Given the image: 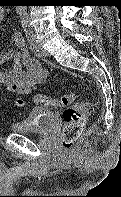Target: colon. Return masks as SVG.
I'll list each match as a JSON object with an SVG mask.
<instances>
[{"mask_svg": "<svg viewBox=\"0 0 121 197\" xmlns=\"http://www.w3.org/2000/svg\"><path fill=\"white\" fill-rule=\"evenodd\" d=\"M74 94H66L59 98H50L43 94L35 96L34 102L38 106L46 107H64L62 117L64 121V127L61 133L62 146L66 151H71L76 146L78 139L80 138L85 122H86V110L89 107V101H81L73 103ZM18 106H23L22 100H17Z\"/></svg>", "mask_w": 121, "mask_h": 197, "instance_id": "colon-1", "label": "colon"}]
</instances>
